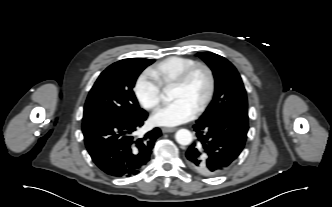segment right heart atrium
<instances>
[{
    "label": "right heart atrium",
    "mask_w": 332,
    "mask_h": 207,
    "mask_svg": "<svg viewBox=\"0 0 332 207\" xmlns=\"http://www.w3.org/2000/svg\"><path fill=\"white\" fill-rule=\"evenodd\" d=\"M134 91L140 104L147 110H155L161 102V85L149 72L142 73L136 80Z\"/></svg>",
    "instance_id": "1"
}]
</instances>
